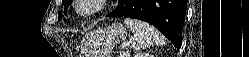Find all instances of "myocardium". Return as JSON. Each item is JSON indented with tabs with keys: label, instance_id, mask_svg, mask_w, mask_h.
Masks as SVG:
<instances>
[{
	"label": "myocardium",
	"instance_id": "myocardium-1",
	"mask_svg": "<svg viewBox=\"0 0 249 57\" xmlns=\"http://www.w3.org/2000/svg\"><path fill=\"white\" fill-rule=\"evenodd\" d=\"M109 1L107 0H75L73 10L80 17H90L103 11ZM89 5V9L84 7Z\"/></svg>",
	"mask_w": 249,
	"mask_h": 57
}]
</instances>
